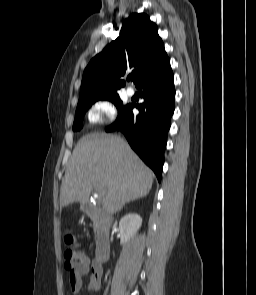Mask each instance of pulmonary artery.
<instances>
[{
	"mask_svg": "<svg viewBox=\"0 0 256 295\" xmlns=\"http://www.w3.org/2000/svg\"><path fill=\"white\" fill-rule=\"evenodd\" d=\"M126 93H127V95L132 96L134 94V89L131 87H127Z\"/></svg>",
	"mask_w": 256,
	"mask_h": 295,
	"instance_id": "e3ab8cb5",
	"label": "pulmonary artery"
}]
</instances>
